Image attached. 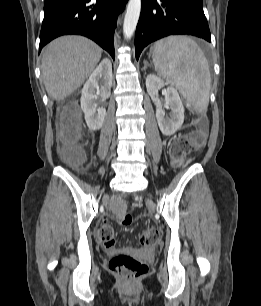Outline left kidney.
<instances>
[{"label": "left kidney", "instance_id": "5707ae66", "mask_svg": "<svg viewBox=\"0 0 261 306\" xmlns=\"http://www.w3.org/2000/svg\"><path fill=\"white\" fill-rule=\"evenodd\" d=\"M165 86V82L154 74H149L146 78V88L152 101L156 106V118L158 126L165 136L173 135L184 122V106L177 90L168 86L163 90L166 107L171 110L170 116H165L162 104L158 98V91Z\"/></svg>", "mask_w": 261, "mask_h": 306}]
</instances>
